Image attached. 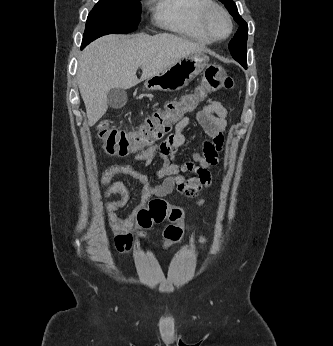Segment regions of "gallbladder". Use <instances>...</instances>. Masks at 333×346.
<instances>
[{"mask_svg": "<svg viewBox=\"0 0 333 346\" xmlns=\"http://www.w3.org/2000/svg\"><path fill=\"white\" fill-rule=\"evenodd\" d=\"M127 102V93L124 89L113 88L107 93V103L113 109L122 108Z\"/></svg>", "mask_w": 333, "mask_h": 346, "instance_id": "1", "label": "gallbladder"}]
</instances>
